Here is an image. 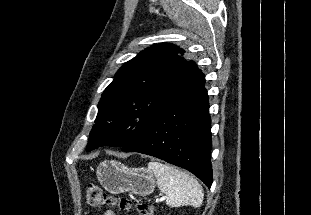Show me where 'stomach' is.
Wrapping results in <instances>:
<instances>
[{"label": "stomach", "instance_id": "stomach-1", "mask_svg": "<svg viewBox=\"0 0 311 215\" xmlns=\"http://www.w3.org/2000/svg\"><path fill=\"white\" fill-rule=\"evenodd\" d=\"M100 184L111 194L131 192L138 196L151 194L156 186L154 174L146 168H129L115 160L102 162L97 168Z\"/></svg>", "mask_w": 311, "mask_h": 215}]
</instances>
